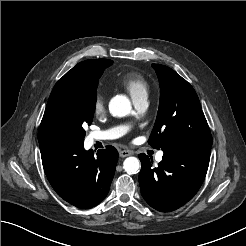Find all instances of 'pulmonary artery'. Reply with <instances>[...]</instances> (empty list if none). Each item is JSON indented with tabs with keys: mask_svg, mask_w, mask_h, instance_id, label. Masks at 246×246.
<instances>
[{
	"mask_svg": "<svg viewBox=\"0 0 246 246\" xmlns=\"http://www.w3.org/2000/svg\"><path fill=\"white\" fill-rule=\"evenodd\" d=\"M133 103H134L135 108L139 112H144L148 107V100L146 96L134 99ZM126 130H127V127L119 126V127H115L109 130H105V131L93 132L90 134L89 137L92 141L110 140V139H115V138L122 136L126 132ZM162 157H163V152H159L156 155V160L161 161Z\"/></svg>",
	"mask_w": 246,
	"mask_h": 246,
	"instance_id": "pulmonary-artery-1",
	"label": "pulmonary artery"
}]
</instances>
